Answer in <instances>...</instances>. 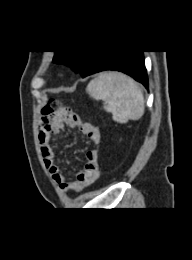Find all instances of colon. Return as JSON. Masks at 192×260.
<instances>
[{
  "mask_svg": "<svg viewBox=\"0 0 192 260\" xmlns=\"http://www.w3.org/2000/svg\"><path fill=\"white\" fill-rule=\"evenodd\" d=\"M68 109L57 100H51L42 111L44 118H52L56 116H62L67 113Z\"/></svg>",
  "mask_w": 192,
  "mask_h": 260,
  "instance_id": "colon-1",
  "label": "colon"
}]
</instances>
